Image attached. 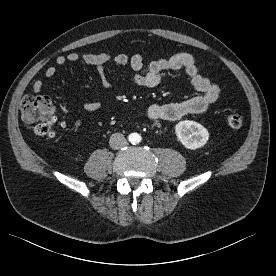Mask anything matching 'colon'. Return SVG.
Here are the masks:
<instances>
[{"instance_id":"1","label":"colon","mask_w":276,"mask_h":276,"mask_svg":"<svg viewBox=\"0 0 276 276\" xmlns=\"http://www.w3.org/2000/svg\"><path fill=\"white\" fill-rule=\"evenodd\" d=\"M21 118L40 137L57 139L56 116L51 98L46 94L27 95L20 105ZM230 129L237 130L243 125V116L239 112H230L226 117Z\"/></svg>"}]
</instances>
